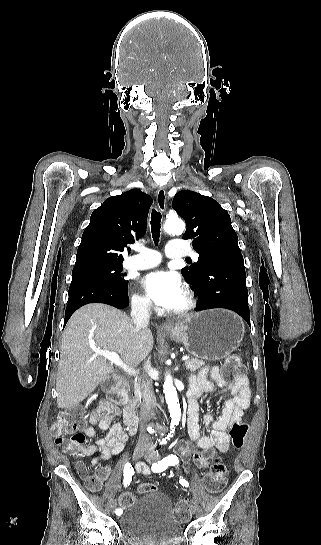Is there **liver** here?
<instances>
[{
	"label": "liver",
	"mask_w": 321,
	"mask_h": 545,
	"mask_svg": "<svg viewBox=\"0 0 321 545\" xmlns=\"http://www.w3.org/2000/svg\"><path fill=\"white\" fill-rule=\"evenodd\" d=\"M154 345L147 327H134L125 313L102 303H90L69 319L62 337L56 391L59 409L84 401L113 373L112 365L95 351L119 353L124 365L136 367Z\"/></svg>",
	"instance_id": "6515ba94"
}]
</instances>
